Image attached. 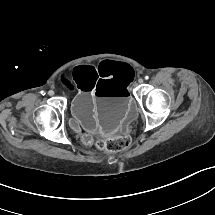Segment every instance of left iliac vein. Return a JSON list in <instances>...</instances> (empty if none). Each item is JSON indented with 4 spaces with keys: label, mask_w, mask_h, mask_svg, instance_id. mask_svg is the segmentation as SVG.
I'll use <instances>...</instances> for the list:
<instances>
[{
    "label": "left iliac vein",
    "mask_w": 215,
    "mask_h": 215,
    "mask_svg": "<svg viewBox=\"0 0 215 215\" xmlns=\"http://www.w3.org/2000/svg\"><path fill=\"white\" fill-rule=\"evenodd\" d=\"M143 81H144V80H143L142 78L138 79V83H139V84H142Z\"/></svg>",
    "instance_id": "obj_1"
}]
</instances>
